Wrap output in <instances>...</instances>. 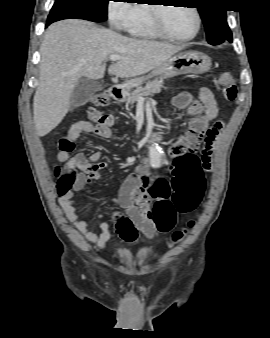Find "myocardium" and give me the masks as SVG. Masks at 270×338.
<instances>
[{"label": "myocardium", "mask_w": 270, "mask_h": 338, "mask_svg": "<svg viewBox=\"0 0 270 338\" xmlns=\"http://www.w3.org/2000/svg\"><path fill=\"white\" fill-rule=\"evenodd\" d=\"M168 7H171V6H168L166 4L165 5H161V4L150 5L151 25L153 29L155 30V32L160 37L168 39L170 41H174V42H186V41H190L194 39L198 35L200 31V27H201V17H200L198 10L194 7H190V9L194 12L196 16V29L193 32V34L187 37H177V36L172 35L170 32H168V30L165 28V25H164L162 13H163V10Z\"/></svg>", "instance_id": "obj_1"}]
</instances>
